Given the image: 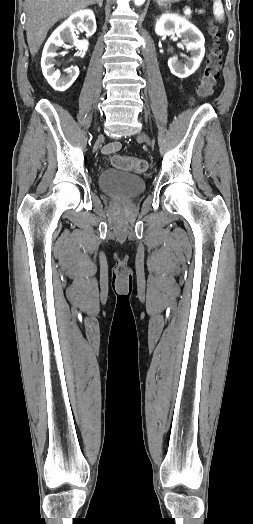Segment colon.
Instances as JSON below:
<instances>
[{"label":"colon","mask_w":253,"mask_h":524,"mask_svg":"<svg viewBox=\"0 0 253 524\" xmlns=\"http://www.w3.org/2000/svg\"><path fill=\"white\" fill-rule=\"evenodd\" d=\"M211 34L214 43L207 57L203 75L197 88V93L200 97H208L212 94L222 66L223 52L219 28L213 26L211 28ZM110 162L118 169L136 173H144L148 168L146 160L137 157L112 156L110 157Z\"/></svg>","instance_id":"colon-1"}]
</instances>
